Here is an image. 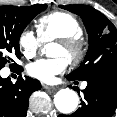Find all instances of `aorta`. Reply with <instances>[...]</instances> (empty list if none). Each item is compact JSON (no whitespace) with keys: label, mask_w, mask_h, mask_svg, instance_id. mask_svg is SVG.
<instances>
[{"label":"aorta","mask_w":117,"mask_h":117,"mask_svg":"<svg viewBox=\"0 0 117 117\" xmlns=\"http://www.w3.org/2000/svg\"><path fill=\"white\" fill-rule=\"evenodd\" d=\"M46 53V49H43ZM79 103V97L75 91L69 88L59 90L54 96V104L57 110L63 114H71Z\"/></svg>","instance_id":"aorta-1"}]
</instances>
